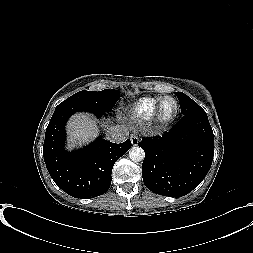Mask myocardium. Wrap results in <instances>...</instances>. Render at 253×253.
I'll use <instances>...</instances> for the list:
<instances>
[{"label": "myocardium", "instance_id": "f54148a6", "mask_svg": "<svg viewBox=\"0 0 253 253\" xmlns=\"http://www.w3.org/2000/svg\"><path fill=\"white\" fill-rule=\"evenodd\" d=\"M168 99H170L174 102L175 111L171 116L164 117L161 114V108H162L164 101H166ZM178 114H179V104H178V101L176 100V98H174L172 96H163L158 101L152 118H153V121L155 122L156 125H158L159 127H164V126H167L168 124H170L171 122H173L177 118Z\"/></svg>", "mask_w": 253, "mask_h": 253}]
</instances>
